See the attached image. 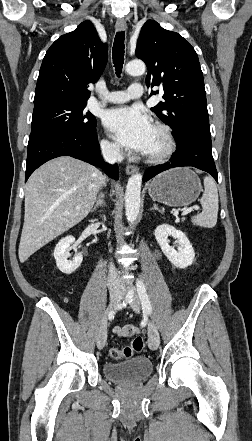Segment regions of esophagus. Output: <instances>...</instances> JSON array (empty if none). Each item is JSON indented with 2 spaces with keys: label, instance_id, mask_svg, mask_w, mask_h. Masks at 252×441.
Here are the masks:
<instances>
[{
  "label": "esophagus",
  "instance_id": "1",
  "mask_svg": "<svg viewBox=\"0 0 252 441\" xmlns=\"http://www.w3.org/2000/svg\"><path fill=\"white\" fill-rule=\"evenodd\" d=\"M115 27H116V30L119 32L125 31L127 29V24L124 19H117ZM137 171H138V167L135 165H127L126 166V173L128 175H132V174L136 173Z\"/></svg>",
  "mask_w": 252,
  "mask_h": 441
}]
</instances>
